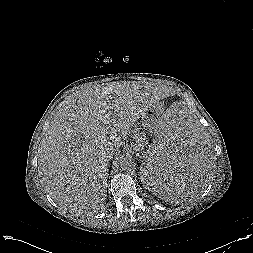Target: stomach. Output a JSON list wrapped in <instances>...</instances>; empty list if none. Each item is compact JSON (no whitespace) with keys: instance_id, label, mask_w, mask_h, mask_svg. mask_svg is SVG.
<instances>
[{"instance_id":"0dacf381","label":"stomach","mask_w":253,"mask_h":253,"mask_svg":"<svg viewBox=\"0 0 253 253\" xmlns=\"http://www.w3.org/2000/svg\"><path fill=\"white\" fill-rule=\"evenodd\" d=\"M165 115L166 114L163 113L162 108L154 105L148 109L142 117V128L148 133L154 134L159 128L161 120Z\"/></svg>"}]
</instances>
